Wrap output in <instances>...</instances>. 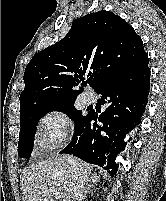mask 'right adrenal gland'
Masks as SVG:
<instances>
[{
	"label": "right adrenal gland",
	"instance_id": "1",
	"mask_svg": "<svg viewBox=\"0 0 166 201\" xmlns=\"http://www.w3.org/2000/svg\"><path fill=\"white\" fill-rule=\"evenodd\" d=\"M100 177L97 176L96 174H92L90 180L87 182V187L85 188L84 191V196L83 199H86L87 194L90 192V189L99 182Z\"/></svg>",
	"mask_w": 166,
	"mask_h": 201
}]
</instances>
